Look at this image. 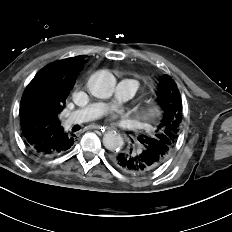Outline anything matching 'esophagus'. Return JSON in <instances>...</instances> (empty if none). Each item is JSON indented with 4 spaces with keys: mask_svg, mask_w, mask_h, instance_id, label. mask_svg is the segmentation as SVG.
<instances>
[{
    "mask_svg": "<svg viewBox=\"0 0 232 232\" xmlns=\"http://www.w3.org/2000/svg\"><path fill=\"white\" fill-rule=\"evenodd\" d=\"M92 128L100 130L102 133H104L106 130H108V128H106L104 126H99V125H93Z\"/></svg>",
    "mask_w": 232,
    "mask_h": 232,
    "instance_id": "obj_1",
    "label": "esophagus"
}]
</instances>
